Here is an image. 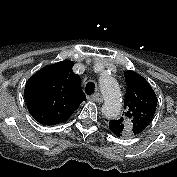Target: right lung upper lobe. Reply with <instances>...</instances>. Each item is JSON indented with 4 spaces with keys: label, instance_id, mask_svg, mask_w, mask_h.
<instances>
[{
    "label": "right lung upper lobe",
    "instance_id": "1",
    "mask_svg": "<svg viewBox=\"0 0 177 177\" xmlns=\"http://www.w3.org/2000/svg\"><path fill=\"white\" fill-rule=\"evenodd\" d=\"M74 63L64 60L48 65L26 83L25 100L30 114L42 125L65 122L86 96L81 79L72 72Z\"/></svg>",
    "mask_w": 177,
    "mask_h": 177
}]
</instances>
